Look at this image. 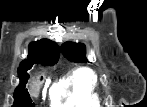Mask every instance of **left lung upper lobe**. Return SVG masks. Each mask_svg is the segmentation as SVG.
<instances>
[{
  "instance_id": "5c2ea615",
  "label": "left lung upper lobe",
  "mask_w": 147,
  "mask_h": 107,
  "mask_svg": "<svg viewBox=\"0 0 147 107\" xmlns=\"http://www.w3.org/2000/svg\"><path fill=\"white\" fill-rule=\"evenodd\" d=\"M61 49L63 55L72 62L86 63V47L82 43L65 42L62 44Z\"/></svg>"
}]
</instances>
